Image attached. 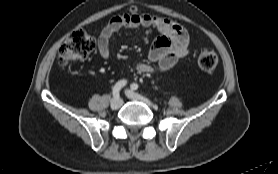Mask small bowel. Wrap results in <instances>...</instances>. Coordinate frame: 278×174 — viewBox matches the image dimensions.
I'll use <instances>...</instances> for the list:
<instances>
[{
	"label": "small bowel",
	"instance_id": "1",
	"mask_svg": "<svg viewBox=\"0 0 278 174\" xmlns=\"http://www.w3.org/2000/svg\"><path fill=\"white\" fill-rule=\"evenodd\" d=\"M138 27L153 28L158 32L151 45L149 58L161 72L172 69L180 58L189 53V36L183 26L168 18L132 13L118 15L102 28L97 41L100 56L105 60L110 58L109 42L113 34L123 28ZM136 67L144 74L153 72V67L147 63H138Z\"/></svg>",
	"mask_w": 278,
	"mask_h": 174
}]
</instances>
